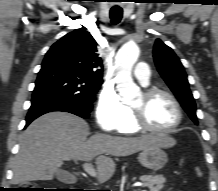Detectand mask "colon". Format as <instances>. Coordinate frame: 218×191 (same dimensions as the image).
<instances>
[{
  "mask_svg": "<svg viewBox=\"0 0 218 191\" xmlns=\"http://www.w3.org/2000/svg\"><path fill=\"white\" fill-rule=\"evenodd\" d=\"M21 191H46V190L38 185H27L24 188H22Z\"/></svg>",
  "mask_w": 218,
  "mask_h": 191,
  "instance_id": "colon-1",
  "label": "colon"
}]
</instances>
